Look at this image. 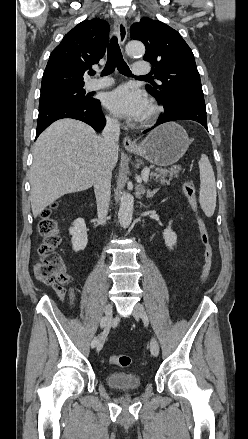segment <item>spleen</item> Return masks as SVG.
<instances>
[{"label": "spleen", "mask_w": 248, "mask_h": 439, "mask_svg": "<svg viewBox=\"0 0 248 439\" xmlns=\"http://www.w3.org/2000/svg\"><path fill=\"white\" fill-rule=\"evenodd\" d=\"M200 192L199 202L206 216L211 217L216 208V182L214 171L208 157L201 155L199 161Z\"/></svg>", "instance_id": "obj_1"}]
</instances>
